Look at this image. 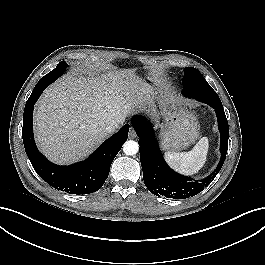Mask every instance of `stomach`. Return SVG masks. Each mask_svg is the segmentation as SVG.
Wrapping results in <instances>:
<instances>
[{
    "label": "stomach",
    "instance_id": "1",
    "mask_svg": "<svg viewBox=\"0 0 265 265\" xmlns=\"http://www.w3.org/2000/svg\"><path fill=\"white\" fill-rule=\"evenodd\" d=\"M144 82L148 85L151 99L161 109L164 120L159 135L161 147L164 150L176 151L194 143L199 136L196 117L171 100L154 78L146 76Z\"/></svg>",
    "mask_w": 265,
    "mask_h": 265
}]
</instances>
